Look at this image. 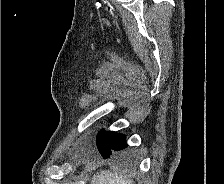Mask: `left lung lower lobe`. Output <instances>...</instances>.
I'll use <instances>...</instances> for the list:
<instances>
[{
    "instance_id": "1",
    "label": "left lung lower lobe",
    "mask_w": 224,
    "mask_h": 184,
    "mask_svg": "<svg viewBox=\"0 0 224 184\" xmlns=\"http://www.w3.org/2000/svg\"><path fill=\"white\" fill-rule=\"evenodd\" d=\"M125 139L123 134L100 131L96 138V144L102 157L106 159L110 157L113 150L120 151L128 146Z\"/></svg>"
}]
</instances>
